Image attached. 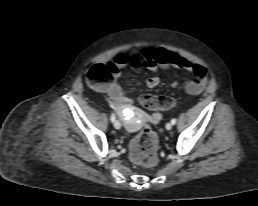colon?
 I'll return each mask as SVG.
<instances>
[{"label":"colon","mask_w":258,"mask_h":206,"mask_svg":"<svg viewBox=\"0 0 258 206\" xmlns=\"http://www.w3.org/2000/svg\"><path fill=\"white\" fill-rule=\"evenodd\" d=\"M139 62H135L137 65ZM86 77L93 85H104L111 80L108 66L96 64L88 68ZM141 104L152 110H169L173 107V100L164 96L143 95ZM130 157L133 163L151 167L158 160V137L156 133L145 127L131 142Z\"/></svg>","instance_id":"colon-1"}]
</instances>
